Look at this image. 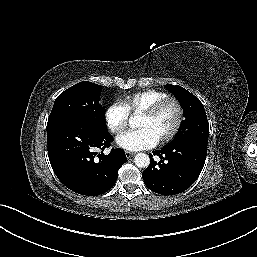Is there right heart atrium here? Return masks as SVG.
Masks as SVG:
<instances>
[{"mask_svg": "<svg viewBox=\"0 0 257 257\" xmlns=\"http://www.w3.org/2000/svg\"><path fill=\"white\" fill-rule=\"evenodd\" d=\"M130 113L121 101L111 103L105 110L104 119L113 134L122 133L128 126Z\"/></svg>", "mask_w": 257, "mask_h": 257, "instance_id": "obj_1", "label": "right heart atrium"}]
</instances>
